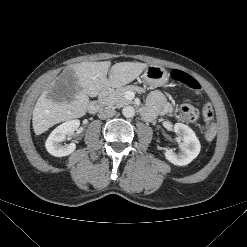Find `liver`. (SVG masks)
Masks as SVG:
<instances>
[{"instance_id":"liver-1","label":"liver","mask_w":247,"mask_h":247,"mask_svg":"<svg viewBox=\"0 0 247 247\" xmlns=\"http://www.w3.org/2000/svg\"><path fill=\"white\" fill-rule=\"evenodd\" d=\"M110 65V61L82 62L66 69L58 80L68 83V88L54 90L56 80L35 104L32 118L35 134L41 135L57 123L84 116L89 96L95 97L110 87L120 88L135 80L148 67L141 62H119L111 68Z\"/></svg>"}]
</instances>
